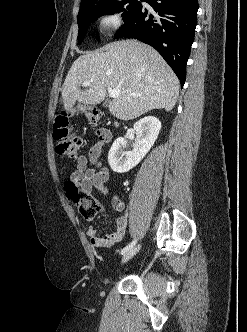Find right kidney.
<instances>
[{
  "label": "right kidney",
  "mask_w": 247,
  "mask_h": 332,
  "mask_svg": "<svg viewBox=\"0 0 247 332\" xmlns=\"http://www.w3.org/2000/svg\"><path fill=\"white\" fill-rule=\"evenodd\" d=\"M133 130L136 144L132 151H125L127 141L117 138L108 154V162L116 173H125L134 168L146 156L154 145L161 130V122L154 116H147L137 121Z\"/></svg>",
  "instance_id": "right-kidney-1"
}]
</instances>
